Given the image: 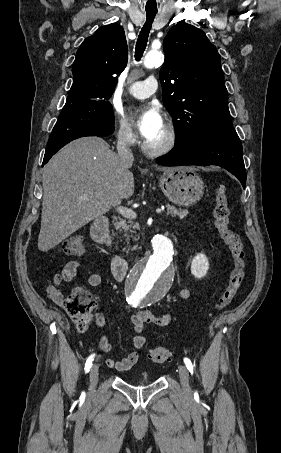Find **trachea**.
<instances>
[{
	"label": "trachea",
	"instance_id": "trachea-1",
	"mask_svg": "<svg viewBox=\"0 0 281 453\" xmlns=\"http://www.w3.org/2000/svg\"><path fill=\"white\" fill-rule=\"evenodd\" d=\"M155 15H156V13L147 12L146 22H145L142 30L140 31V34L138 36L137 43H136L135 58L137 61L140 60V58L142 57L144 50L146 48L149 32L151 30V25L153 23Z\"/></svg>",
	"mask_w": 281,
	"mask_h": 453
}]
</instances>
